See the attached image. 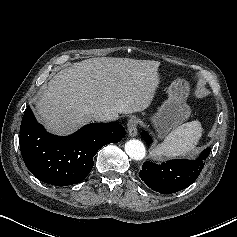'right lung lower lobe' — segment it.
I'll return each mask as SVG.
<instances>
[{
	"instance_id": "right-lung-lower-lobe-1",
	"label": "right lung lower lobe",
	"mask_w": 237,
	"mask_h": 237,
	"mask_svg": "<svg viewBox=\"0 0 237 237\" xmlns=\"http://www.w3.org/2000/svg\"><path fill=\"white\" fill-rule=\"evenodd\" d=\"M125 129L116 122L94 123L73 135L59 137L37 123L31 108L24 112L20 149L25 165L40 181L68 186L84 180L93 168V157L108 143L120 142Z\"/></svg>"
}]
</instances>
